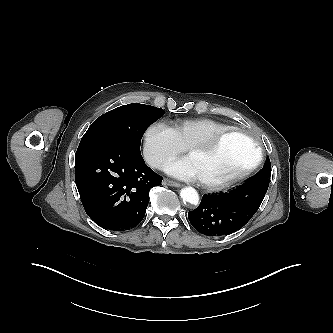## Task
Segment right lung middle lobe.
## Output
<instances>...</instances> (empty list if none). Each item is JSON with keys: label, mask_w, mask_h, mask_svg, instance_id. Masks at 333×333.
Returning a JSON list of instances; mask_svg holds the SVG:
<instances>
[{"label": "right lung middle lobe", "mask_w": 333, "mask_h": 333, "mask_svg": "<svg viewBox=\"0 0 333 333\" xmlns=\"http://www.w3.org/2000/svg\"><path fill=\"white\" fill-rule=\"evenodd\" d=\"M165 113L145 104H128L97 118L81 139L85 143H113L140 152V143L150 124Z\"/></svg>", "instance_id": "dd1d6c3e"}]
</instances>
